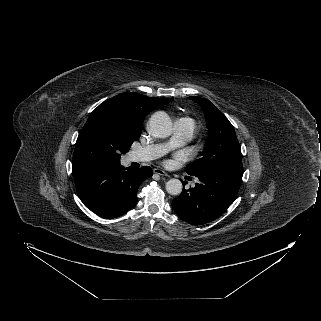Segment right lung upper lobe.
Instances as JSON below:
<instances>
[{"label":"right lung upper lobe","mask_w":321,"mask_h":321,"mask_svg":"<svg viewBox=\"0 0 321 321\" xmlns=\"http://www.w3.org/2000/svg\"><path fill=\"white\" fill-rule=\"evenodd\" d=\"M173 98H154L135 92L116 95L97 108L110 110L133 129L140 130L146 115L157 107L169 103Z\"/></svg>","instance_id":"right-lung-upper-lobe-1"}]
</instances>
